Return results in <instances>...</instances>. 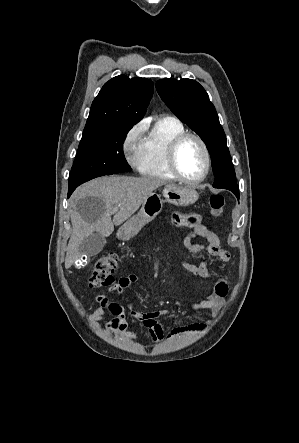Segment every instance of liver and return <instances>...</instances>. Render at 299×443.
<instances>
[{
    "mask_svg": "<svg viewBox=\"0 0 299 443\" xmlns=\"http://www.w3.org/2000/svg\"><path fill=\"white\" fill-rule=\"evenodd\" d=\"M164 180L149 177L104 176L79 186L70 200L72 234L66 249L65 268L80 258L79 246L93 233L107 237L128 220ZM86 198H90L86 203ZM114 208L117 212L111 213ZM114 215L113 221L111 216Z\"/></svg>",
    "mask_w": 299,
    "mask_h": 443,
    "instance_id": "obj_1",
    "label": "liver"
}]
</instances>
